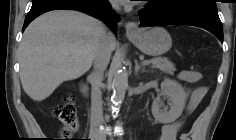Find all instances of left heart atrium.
Wrapping results in <instances>:
<instances>
[{"label":"left heart atrium","instance_id":"39dd6f15","mask_svg":"<svg viewBox=\"0 0 236 140\" xmlns=\"http://www.w3.org/2000/svg\"><path fill=\"white\" fill-rule=\"evenodd\" d=\"M121 2H127V0H120Z\"/></svg>","mask_w":236,"mask_h":140}]
</instances>
